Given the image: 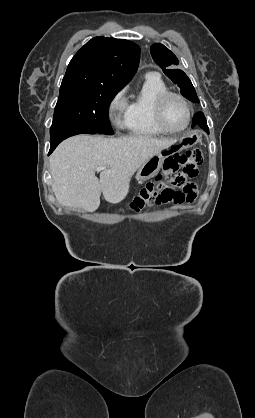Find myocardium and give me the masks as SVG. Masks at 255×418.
Instances as JSON below:
<instances>
[{"instance_id":"obj_1","label":"myocardium","mask_w":255,"mask_h":418,"mask_svg":"<svg viewBox=\"0 0 255 418\" xmlns=\"http://www.w3.org/2000/svg\"><path fill=\"white\" fill-rule=\"evenodd\" d=\"M172 97L179 99L185 105L187 109V121L185 125L180 129H172L168 127L164 120L165 105L167 101ZM192 114H193V111H192V106L190 102L180 93L173 92V91H165L161 93L155 100L154 119L158 127L166 133L176 134V133H181L185 131L191 123Z\"/></svg>"}]
</instances>
